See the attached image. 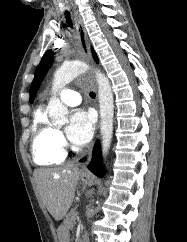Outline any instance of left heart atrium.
<instances>
[{
  "instance_id": "obj_1",
  "label": "left heart atrium",
  "mask_w": 187,
  "mask_h": 242,
  "mask_svg": "<svg viewBox=\"0 0 187 242\" xmlns=\"http://www.w3.org/2000/svg\"><path fill=\"white\" fill-rule=\"evenodd\" d=\"M95 118L91 111L76 108L71 112L66 129L68 139L76 145H85L93 135Z\"/></svg>"
}]
</instances>
